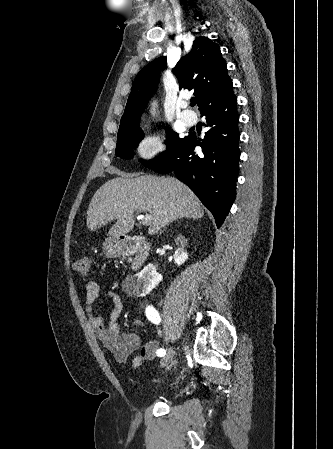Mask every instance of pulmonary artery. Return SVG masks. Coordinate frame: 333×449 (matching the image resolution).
Instances as JSON below:
<instances>
[{
	"instance_id": "obj_1",
	"label": "pulmonary artery",
	"mask_w": 333,
	"mask_h": 449,
	"mask_svg": "<svg viewBox=\"0 0 333 449\" xmlns=\"http://www.w3.org/2000/svg\"><path fill=\"white\" fill-rule=\"evenodd\" d=\"M180 119L186 126H193L197 121L195 114L189 110H183L180 113Z\"/></svg>"
}]
</instances>
